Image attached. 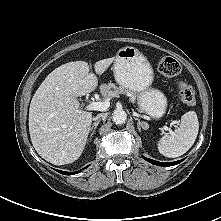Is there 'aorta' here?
<instances>
[{
	"mask_svg": "<svg viewBox=\"0 0 221 221\" xmlns=\"http://www.w3.org/2000/svg\"><path fill=\"white\" fill-rule=\"evenodd\" d=\"M127 119V114L124 110H115L112 114V120L115 124H123Z\"/></svg>",
	"mask_w": 221,
	"mask_h": 221,
	"instance_id": "1",
	"label": "aorta"
}]
</instances>
